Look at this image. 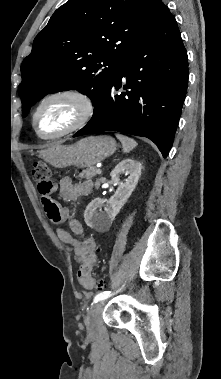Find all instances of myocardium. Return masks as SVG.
Wrapping results in <instances>:
<instances>
[{
    "instance_id": "obj_1",
    "label": "myocardium",
    "mask_w": 221,
    "mask_h": 379,
    "mask_svg": "<svg viewBox=\"0 0 221 379\" xmlns=\"http://www.w3.org/2000/svg\"><path fill=\"white\" fill-rule=\"evenodd\" d=\"M57 99H69L78 107V114L75 120L65 129L54 134L44 135L37 128V117L41 109L49 102ZM94 113V103L91 97L78 89L67 88L53 91L45 95L35 106L31 113V128L35 135L43 140H53L67 136L84 127L92 118Z\"/></svg>"
}]
</instances>
